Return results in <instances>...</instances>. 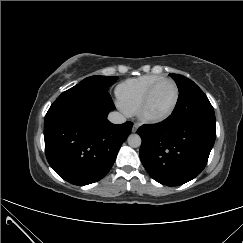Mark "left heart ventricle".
<instances>
[{
	"label": "left heart ventricle",
	"instance_id": "obj_1",
	"mask_svg": "<svg viewBox=\"0 0 243 243\" xmlns=\"http://www.w3.org/2000/svg\"><path fill=\"white\" fill-rule=\"evenodd\" d=\"M175 98V88L172 83L161 84L153 93L147 106L149 115L158 116L167 112L173 104Z\"/></svg>",
	"mask_w": 243,
	"mask_h": 243
}]
</instances>
